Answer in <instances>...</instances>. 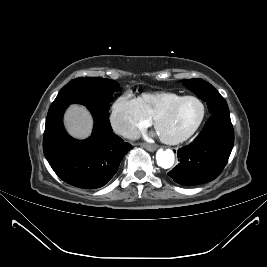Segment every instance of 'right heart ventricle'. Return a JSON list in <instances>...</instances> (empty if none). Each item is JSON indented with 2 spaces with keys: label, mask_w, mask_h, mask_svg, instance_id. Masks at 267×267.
Returning <instances> with one entry per match:
<instances>
[{
  "label": "right heart ventricle",
  "mask_w": 267,
  "mask_h": 267,
  "mask_svg": "<svg viewBox=\"0 0 267 267\" xmlns=\"http://www.w3.org/2000/svg\"><path fill=\"white\" fill-rule=\"evenodd\" d=\"M182 97L183 95L175 92L161 91L143 93L138 97V101L145 115L148 118L153 119L156 113Z\"/></svg>",
  "instance_id": "1"
}]
</instances>
